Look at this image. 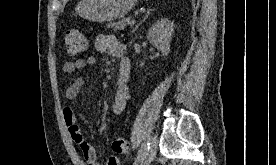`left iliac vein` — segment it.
Returning a JSON list of instances; mask_svg holds the SVG:
<instances>
[{
    "label": "left iliac vein",
    "mask_w": 276,
    "mask_h": 165,
    "mask_svg": "<svg viewBox=\"0 0 276 165\" xmlns=\"http://www.w3.org/2000/svg\"><path fill=\"white\" fill-rule=\"evenodd\" d=\"M148 142H149V148L145 152V155H144L143 159L139 162L140 165H149L153 161V159L156 155V150H157V139H156V137L155 136L149 137Z\"/></svg>",
    "instance_id": "obj_1"
}]
</instances>
